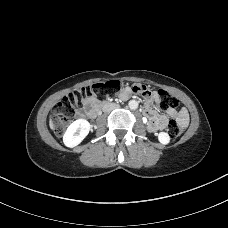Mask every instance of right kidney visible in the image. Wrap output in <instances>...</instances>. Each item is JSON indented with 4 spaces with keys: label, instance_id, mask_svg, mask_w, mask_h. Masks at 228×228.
Segmentation results:
<instances>
[{
    "label": "right kidney",
    "instance_id": "right-kidney-1",
    "mask_svg": "<svg viewBox=\"0 0 228 228\" xmlns=\"http://www.w3.org/2000/svg\"><path fill=\"white\" fill-rule=\"evenodd\" d=\"M91 125L85 119H78L71 123L63 135L65 146L73 148L79 145L88 135Z\"/></svg>",
    "mask_w": 228,
    "mask_h": 228
}]
</instances>
